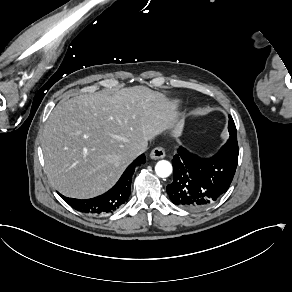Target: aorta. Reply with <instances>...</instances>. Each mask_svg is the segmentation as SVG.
Instances as JSON below:
<instances>
[{"mask_svg": "<svg viewBox=\"0 0 292 292\" xmlns=\"http://www.w3.org/2000/svg\"><path fill=\"white\" fill-rule=\"evenodd\" d=\"M155 171L159 177H168L172 173V165L166 160H161L156 164Z\"/></svg>", "mask_w": 292, "mask_h": 292, "instance_id": "762f6f07", "label": "aorta"}]
</instances>
